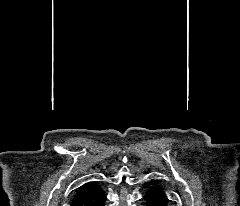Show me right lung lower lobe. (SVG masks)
<instances>
[{
    "mask_svg": "<svg viewBox=\"0 0 240 206\" xmlns=\"http://www.w3.org/2000/svg\"><path fill=\"white\" fill-rule=\"evenodd\" d=\"M106 195L100 186H97L86 196L73 199L71 206H105Z\"/></svg>",
    "mask_w": 240,
    "mask_h": 206,
    "instance_id": "98d812e1",
    "label": "right lung lower lobe"
}]
</instances>
